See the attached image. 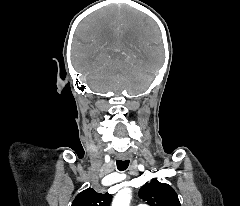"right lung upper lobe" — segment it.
<instances>
[{
	"instance_id": "obj_1",
	"label": "right lung upper lobe",
	"mask_w": 240,
	"mask_h": 206,
	"mask_svg": "<svg viewBox=\"0 0 240 206\" xmlns=\"http://www.w3.org/2000/svg\"><path fill=\"white\" fill-rule=\"evenodd\" d=\"M111 199V194L98 193L88 188L75 197L72 206H109Z\"/></svg>"
}]
</instances>
